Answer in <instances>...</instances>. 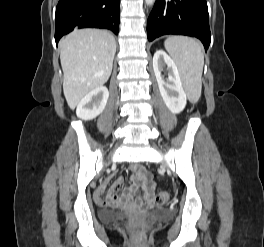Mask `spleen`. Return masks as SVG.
I'll use <instances>...</instances> for the list:
<instances>
[{
	"label": "spleen",
	"instance_id": "spleen-1",
	"mask_svg": "<svg viewBox=\"0 0 264 247\" xmlns=\"http://www.w3.org/2000/svg\"><path fill=\"white\" fill-rule=\"evenodd\" d=\"M164 45L178 67L189 99L197 102L201 95L204 66L200 43L189 37L173 36L167 38Z\"/></svg>",
	"mask_w": 264,
	"mask_h": 247
}]
</instances>
